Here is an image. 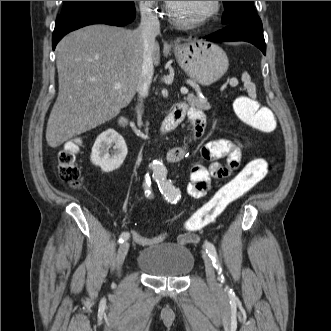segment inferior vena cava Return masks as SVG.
<instances>
[{
  "instance_id": "602c4592",
  "label": "inferior vena cava",
  "mask_w": 331,
  "mask_h": 331,
  "mask_svg": "<svg viewBox=\"0 0 331 331\" xmlns=\"http://www.w3.org/2000/svg\"><path fill=\"white\" fill-rule=\"evenodd\" d=\"M143 41L142 82L138 86V105L136 106L137 118L141 120L143 114V99L148 95L152 81L154 67L152 61V49L155 37L160 33V23L157 15L149 8H141V23L138 28Z\"/></svg>"
}]
</instances>
